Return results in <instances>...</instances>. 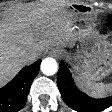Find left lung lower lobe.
Wrapping results in <instances>:
<instances>
[{
  "label": "left lung lower lobe",
  "mask_w": 112,
  "mask_h": 112,
  "mask_svg": "<svg viewBox=\"0 0 112 112\" xmlns=\"http://www.w3.org/2000/svg\"><path fill=\"white\" fill-rule=\"evenodd\" d=\"M106 26L112 30V22H108ZM57 84L64 102L77 112H100L112 106V97L94 99L81 92L65 63L59 64Z\"/></svg>",
  "instance_id": "0a47b994"
}]
</instances>
